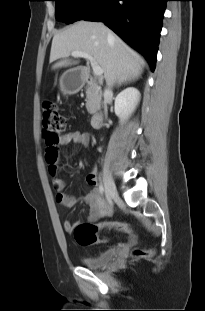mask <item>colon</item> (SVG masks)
Masks as SVG:
<instances>
[{"label":"colon","instance_id":"5ec220e1","mask_svg":"<svg viewBox=\"0 0 205 311\" xmlns=\"http://www.w3.org/2000/svg\"><path fill=\"white\" fill-rule=\"evenodd\" d=\"M43 140L47 145L46 159L50 165H54L58 158L55 146L64 136L66 129V119L61 112L53 105L47 103L42 112ZM117 230L127 234H132L130 224L125 222H102L93 224L90 222H80L73 229L72 233L75 241L81 246H89L96 243H104L107 239L100 235V231ZM151 254L149 250L135 249V258L147 257Z\"/></svg>","mask_w":205,"mask_h":311}]
</instances>
